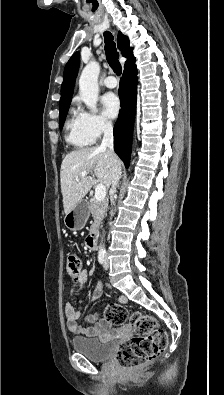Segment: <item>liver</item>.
Here are the masks:
<instances>
[{"label": "liver", "mask_w": 224, "mask_h": 395, "mask_svg": "<svg viewBox=\"0 0 224 395\" xmlns=\"http://www.w3.org/2000/svg\"><path fill=\"white\" fill-rule=\"evenodd\" d=\"M118 157L100 146L78 149L68 153L62 161L60 171L61 193L65 214L83 200L94 184L109 188L112 182V164ZM94 172L96 178L81 176L82 172ZM79 179L77 181L76 179Z\"/></svg>", "instance_id": "1"}]
</instances>
